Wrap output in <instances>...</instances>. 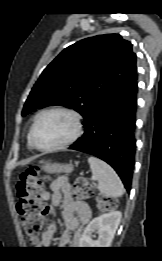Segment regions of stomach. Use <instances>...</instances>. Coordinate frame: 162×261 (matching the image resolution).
I'll list each match as a JSON object with an SVG mask.
<instances>
[{
	"mask_svg": "<svg viewBox=\"0 0 162 261\" xmlns=\"http://www.w3.org/2000/svg\"><path fill=\"white\" fill-rule=\"evenodd\" d=\"M42 169L47 173H71L73 171L72 164H59L47 162L42 166Z\"/></svg>",
	"mask_w": 162,
	"mask_h": 261,
	"instance_id": "0dacf381",
	"label": "stomach"
}]
</instances>
